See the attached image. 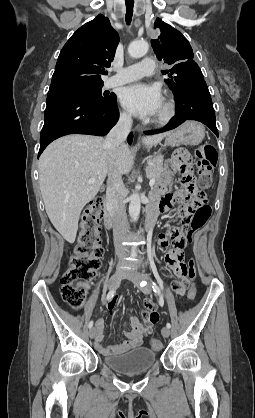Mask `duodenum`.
Masks as SVG:
<instances>
[{"label":"duodenum","instance_id":"obj_1","mask_svg":"<svg viewBox=\"0 0 255 418\" xmlns=\"http://www.w3.org/2000/svg\"><path fill=\"white\" fill-rule=\"evenodd\" d=\"M159 214L158 209L155 206H150L147 210V218H146V229L148 231L152 230L155 224V220L157 215ZM113 218H114V211L111 203L109 202L108 198L104 199V225L107 229H111L113 227Z\"/></svg>","mask_w":255,"mask_h":418}]
</instances>
